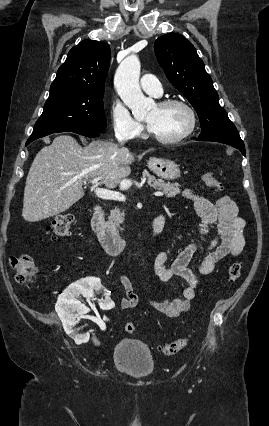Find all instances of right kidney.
<instances>
[{"instance_id": "obj_1", "label": "right kidney", "mask_w": 269, "mask_h": 426, "mask_svg": "<svg viewBox=\"0 0 269 426\" xmlns=\"http://www.w3.org/2000/svg\"><path fill=\"white\" fill-rule=\"evenodd\" d=\"M108 288L102 286L100 280L97 278H86L77 281L68 287L67 290L58 298L56 304V312L62 321L65 332L71 336L78 343H85L89 340V334L76 335L74 326L77 323L76 319L85 314L89 309L82 304L78 298L80 295L90 299L95 295H105V299L101 300L98 305L100 311H113L115 304L109 297ZM78 314H75V312Z\"/></svg>"}]
</instances>
